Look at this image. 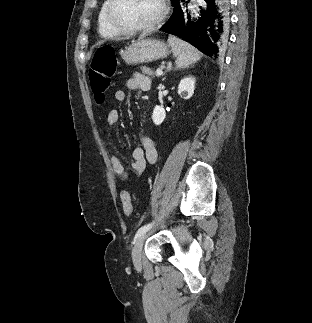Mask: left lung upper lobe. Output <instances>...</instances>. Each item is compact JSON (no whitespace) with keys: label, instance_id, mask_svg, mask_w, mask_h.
Returning <instances> with one entry per match:
<instances>
[{"label":"left lung upper lobe","instance_id":"5c2ea615","mask_svg":"<svg viewBox=\"0 0 312 323\" xmlns=\"http://www.w3.org/2000/svg\"><path fill=\"white\" fill-rule=\"evenodd\" d=\"M172 1V3L174 4V11H173V14H172V16L174 15V13L176 12V10H177V8H178V6H179V4H180V0H171ZM172 16H171V18H172Z\"/></svg>","mask_w":312,"mask_h":323}]
</instances>
